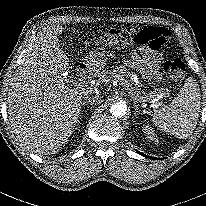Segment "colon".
I'll use <instances>...</instances> for the list:
<instances>
[{"instance_id":"obj_1","label":"colon","mask_w":206,"mask_h":206,"mask_svg":"<svg viewBox=\"0 0 206 206\" xmlns=\"http://www.w3.org/2000/svg\"><path fill=\"white\" fill-rule=\"evenodd\" d=\"M169 39L170 33L165 28L150 27L138 31L134 27H121L110 30L102 37L101 42L112 47L130 43L147 44L152 51H157L168 43ZM163 70L172 83H179L185 72V63L180 58L169 59L164 62Z\"/></svg>"}]
</instances>
